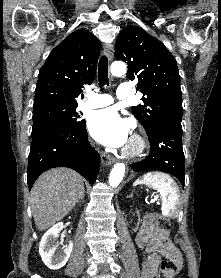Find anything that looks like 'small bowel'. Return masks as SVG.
Returning <instances> with one entry per match:
<instances>
[{
  "label": "small bowel",
  "mask_w": 221,
  "mask_h": 278,
  "mask_svg": "<svg viewBox=\"0 0 221 278\" xmlns=\"http://www.w3.org/2000/svg\"><path fill=\"white\" fill-rule=\"evenodd\" d=\"M135 241L137 246L144 248L146 252L141 278H159L158 265L161 257L171 259L178 267L181 266L182 258L179 251L168 240L167 231H162L155 226L151 215L143 218Z\"/></svg>",
  "instance_id": "obj_1"
}]
</instances>
